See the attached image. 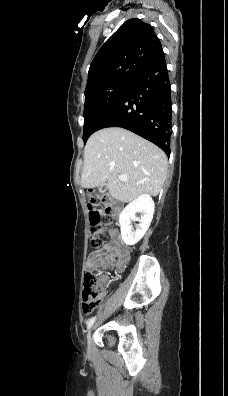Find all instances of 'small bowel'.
Masks as SVG:
<instances>
[{"mask_svg": "<svg viewBox=\"0 0 228 396\" xmlns=\"http://www.w3.org/2000/svg\"><path fill=\"white\" fill-rule=\"evenodd\" d=\"M115 252H119L118 269H122L129 257V250H120L117 242L106 243L91 252L86 259V269L88 271L96 270L108 265L113 260Z\"/></svg>", "mask_w": 228, "mask_h": 396, "instance_id": "c3829d8e", "label": "small bowel"}]
</instances>
